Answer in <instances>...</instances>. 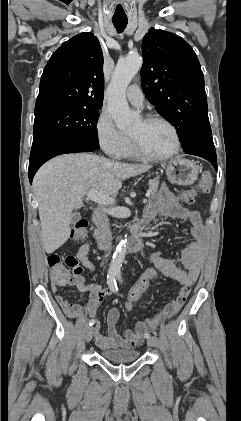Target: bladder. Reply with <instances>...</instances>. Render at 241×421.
Wrapping results in <instances>:
<instances>
[{
	"instance_id": "31cf9c89",
	"label": "bladder",
	"mask_w": 241,
	"mask_h": 421,
	"mask_svg": "<svg viewBox=\"0 0 241 421\" xmlns=\"http://www.w3.org/2000/svg\"><path fill=\"white\" fill-rule=\"evenodd\" d=\"M100 356L112 363H129L139 358V352L136 350L109 349L102 350Z\"/></svg>"
}]
</instances>
